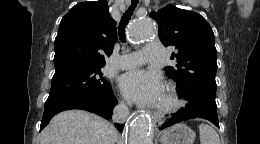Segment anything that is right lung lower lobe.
<instances>
[{
  "label": "right lung lower lobe",
  "mask_w": 260,
  "mask_h": 144,
  "mask_svg": "<svg viewBox=\"0 0 260 144\" xmlns=\"http://www.w3.org/2000/svg\"><path fill=\"white\" fill-rule=\"evenodd\" d=\"M117 104V99L113 92L98 98L80 99L70 98L61 99L45 103L43 119L41 121L40 130H42L51 120V118L59 112L70 109H81L93 112L105 119H110L113 108ZM119 131L123 130V124L115 123Z\"/></svg>",
  "instance_id": "obj_1"
}]
</instances>
